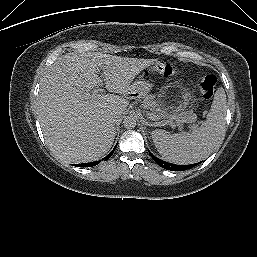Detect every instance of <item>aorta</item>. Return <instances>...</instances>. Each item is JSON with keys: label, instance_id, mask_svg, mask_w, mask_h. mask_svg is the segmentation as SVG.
Masks as SVG:
<instances>
[{"label": "aorta", "instance_id": "aorta-1", "mask_svg": "<svg viewBox=\"0 0 257 257\" xmlns=\"http://www.w3.org/2000/svg\"><path fill=\"white\" fill-rule=\"evenodd\" d=\"M136 123H137V118L133 115H129V116H126L124 119H123V125L125 128H134L136 126Z\"/></svg>", "mask_w": 257, "mask_h": 257}]
</instances>
